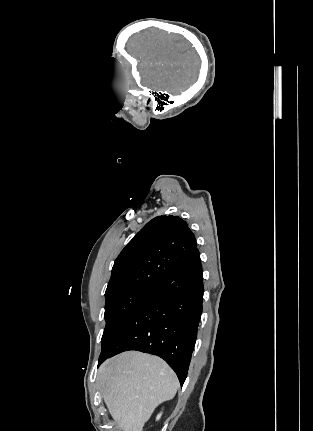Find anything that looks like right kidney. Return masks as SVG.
<instances>
[{
	"mask_svg": "<svg viewBox=\"0 0 313 431\" xmlns=\"http://www.w3.org/2000/svg\"><path fill=\"white\" fill-rule=\"evenodd\" d=\"M161 417V414H159L158 416H157V419H159Z\"/></svg>",
	"mask_w": 313,
	"mask_h": 431,
	"instance_id": "1",
	"label": "right kidney"
}]
</instances>
